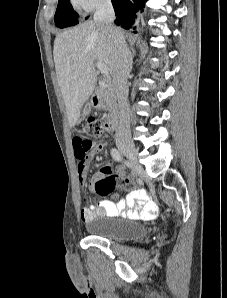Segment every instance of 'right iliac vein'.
Here are the masks:
<instances>
[{
    "instance_id": "63e3f726",
    "label": "right iliac vein",
    "mask_w": 227,
    "mask_h": 298,
    "mask_svg": "<svg viewBox=\"0 0 227 298\" xmlns=\"http://www.w3.org/2000/svg\"><path fill=\"white\" fill-rule=\"evenodd\" d=\"M119 150L131 161L136 170H140L141 166L138 164L137 149L132 142H121L118 144Z\"/></svg>"
}]
</instances>
